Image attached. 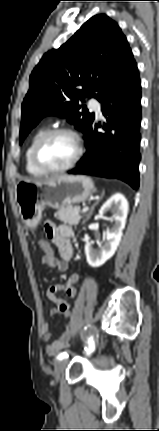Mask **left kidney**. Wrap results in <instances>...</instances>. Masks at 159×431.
I'll list each match as a JSON object with an SVG mask.
<instances>
[{
	"mask_svg": "<svg viewBox=\"0 0 159 431\" xmlns=\"http://www.w3.org/2000/svg\"><path fill=\"white\" fill-rule=\"evenodd\" d=\"M113 214V225L104 233L103 243H98V249L93 247L94 242H87L85 245V254L88 264L93 267L102 266L116 252L126 225L128 215V201L121 193L111 196L100 208L99 215L104 216L107 212Z\"/></svg>",
	"mask_w": 159,
	"mask_h": 431,
	"instance_id": "obj_1",
	"label": "left kidney"
}]
</instances>
